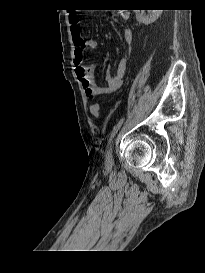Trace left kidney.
Returning a JSON list of instances; mask_svg holds the SVG:
<instances>
[{
    "instance_id": "1",
    "label": "left kidney",
    "mask_w": 205,
    "mask_h": 273,
    "mask_svg": "<svg viewBox=\"0 0 205 273\" xmlns=\"http://www.w3.org/2000/svg\"><path fill=\"white\" fill-rule=\"evenodd\" d=\"M138 22L145 25L155 22L162 14L163 10H148V14H144V10H134Z\"/></svg>"
}]
</instances>
